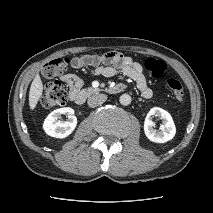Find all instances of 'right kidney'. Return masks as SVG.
<instances>
[{
	"mask_svg": "<svg viewBox=\"0 0 213 213\" xmlns=\"http://www.w3.org/2000/svg\"><path fill=\"white\" fill-rule=\"evenodd\" d=\"M68 118L65 122L58 121L62 115ZM77 126V118L74 116V110L70 107L59 108L52 111L43 123V129L51 137L65 138L70 135Z\"/></svg>",
	"mask_w": 213,
	"mask_h": 213,
	"instance_id": "1",
	"label": "right kidney"
}]
</instances>
